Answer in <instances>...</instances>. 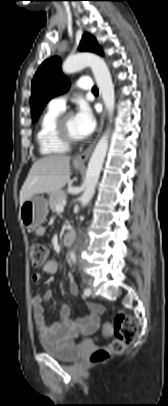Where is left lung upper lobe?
<instances>
[{"label": "left lung upper lobe", "mask_w": 168, "mask_h": 406, "mask_svg": "<svg viewBox=\"0 0 168 406\" xmlns=\"http://www.w3.org/2000/svg\"><path fill=\"white\" fill-rule=\"evenodd\" d=\"M80 51H90L103 55L101 47L96 39L89 33H85L79 45ZM60 58L52 57L45 60L38 68L32 80L31 113L37 120L50 99L66 92L69 89V81L63 75L60 68Z\"/></svg>", "instance_id": "left-lung-upper-lobe-1"}]
</instances>
